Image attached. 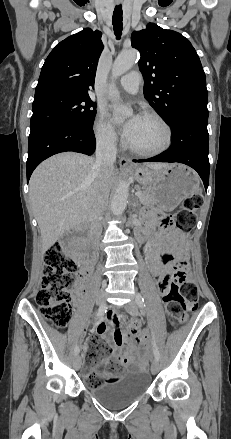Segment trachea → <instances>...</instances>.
I'll list each match as a JSON object with an SVG mask.
<instances>
[{
  "label": "trachea",
  "mask_w": 231,
  "mask_h": 439,
  "mask_svg": "<svg viewBox=\"0 0 231 439\" xmlns=\"http://www.w3.org/2000/svg\"><path fill=\"white\" fill-rule=\"evenodd\" d=\"M122 14H123L122 6L121 5L116 6L112 16V23H113L114 33L118 40L121 38L122 30H123Z\"/></svg>",
  "instance_id": "3493384b"
}]
</instances>
